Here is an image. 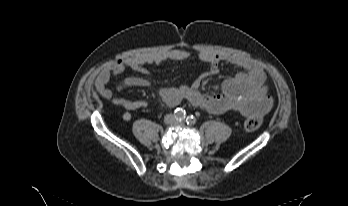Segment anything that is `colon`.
<instances>
[{
    "mask_svg": "<svg viewBox=\"0 0 348 206\" xmlns=\"http://www.w3.org/2000/svg\"><path fill=\"white\" fill-rule=\"evenodd\" d=\"M262 117L260 115H250L244 121L245 129L248 131H255L262 125Z\"/></svg>",
    "mask_w": 348,
    "mask_h": 206,
    "instance_id": "1",
    "label": "colon"
}]
</instances>
